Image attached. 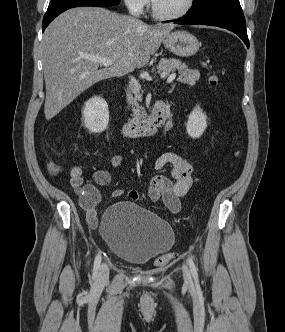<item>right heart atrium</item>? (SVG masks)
Returning <instances> with one entry per match:
<instances>
[{
    "label": "right heart atrium",
    "mask_w": 285,
    "mask_h": 332,
    "mask_svg": "<svg viewBox=\"0 0 285 332\" xmlns=\"http://www.w3.org/2000/svg\"><path fill=\"white\" fill-rule=\"evenodd\" d=\"M127 9L133 15L142 14L148 7L149 0H123Z\"/></svg>",
    "instance_id": "d8ad5b80"
}]
</instances>
